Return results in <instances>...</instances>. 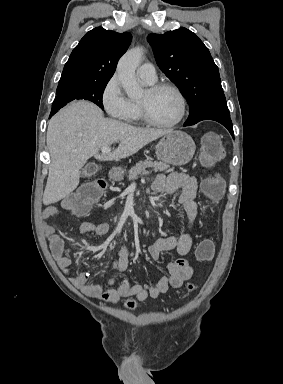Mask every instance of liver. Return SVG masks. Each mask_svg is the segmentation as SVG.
I'll use <instances>...</instances> for the list:
<instances>
[{"label":"liver","instance_id":"1","mask_svg":"<svg viewBox=\"0 0 283 384\" xmlns=\"http://www.w3.org/2000/svg\"><path fill=\"white\" fill-rule=\"evenodd\" d=\"M166 134H170L169 130L135 128L104 118L102 110L87 100L72 102L48 122L46 140L51 164L43 194L44 206L63 200L77 188L80 170L92 156L102 162L128 158ZM115 142L120 144L117 150L98 154L100 148H109Z\"/></svg>","mask_w":283,"mask_h":384}]
</instances>
